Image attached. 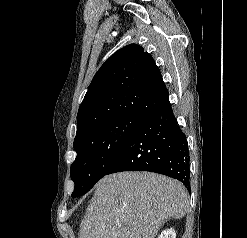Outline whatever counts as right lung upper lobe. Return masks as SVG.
Instances as JSON below:
<instances>
[{"label": "right lung upper lobe", "instance_id": "1", "mask_svg": "<svg viewBox=\"0 0 247 238\" xmlns=\"http://www.w3.org/2000/svg\"><path fill=\"white\" fill-rule=\"evenodd\" d=\"M168 104L169 93L153 58L130 44L95 74L77 114L75 139L121 117L146 118Z\"/></svg>", "mask_w": 247, "mask_h": 238}]
</instances>
